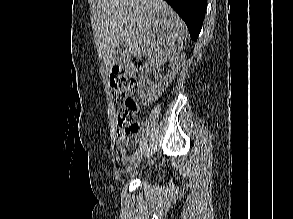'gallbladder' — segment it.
<instances>
[{
  "mask_svg": "<svg viewBox=\"0 0 293 219\" xmlns=\"http://www.w3.org/2000/svg\"><path fill=\"white\" fill-rule=\"evenodd\" d=\"M131 59V53L129 51L128 44L125 41H120L115 50V64L118 66H124Z\"/></svg>",
  "mask_w": 293,
  "mask_h": 219,
  "instance_id": "obj_1",
  "label": "gallbladder"
}]
</instances>
